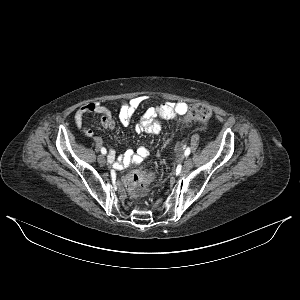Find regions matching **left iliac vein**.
Wrapping results in <instances>:
<instances>
[{
  "mask_svg": "<svg viewBox=\"0 0 300 300\" xmlns=\"http://www.w3.org/2000/svg\"><path fill=\"white\" fill-rule=\"evenodd\" d=\"M191 168H192V160L190 158H187L184 162L182 173L185 174L189 172Z\"/></svg>",
  "mask_w": 300,
  "mask_h": 300,
  "instance_id": "obj_1",
  "label": "left iliac vein"
}]
</instances>
